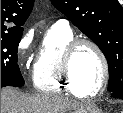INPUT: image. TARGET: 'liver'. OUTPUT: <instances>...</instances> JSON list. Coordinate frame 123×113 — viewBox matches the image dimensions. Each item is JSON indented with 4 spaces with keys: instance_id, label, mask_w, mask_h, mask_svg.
I'll list each match as a JSON object with an SVG mask.
<instances>
[{
    "instance_id": "obj_1",
    "label": "liver",
    "mask_w": 123,
    "mask_h": 113,
    "mask_svg": "<svg viewBox=\"0 0 123 113\" xmlns=\"http://www.w3.org/2000/svg\"><path fill=\"white\" fill-rule=\"evenodd\" d=\"M84 105L60 95L29 94L12 87L1 89V113H67Z\"/></svg>"
}]
</instances>
